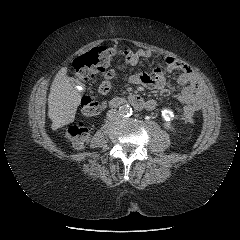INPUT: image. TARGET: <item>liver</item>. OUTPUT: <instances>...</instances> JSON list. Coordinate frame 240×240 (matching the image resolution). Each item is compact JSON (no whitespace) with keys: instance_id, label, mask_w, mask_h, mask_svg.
<instances>
[{"instance_id":"6515ba94","label":"liver","mask_w":240,"mask_h":240,"mask_svg":"<svg viewBox=\"0 0 240 240\" xmlns=\"http://www.w3.org/2000/svg\"><path fill=\"white\" fill-rule=\"evenodd\" d=\"M66 74V67L58 71L48 96V116L52 120V130L72 123L81 101L82 96L76 83Z\"/></svg>"}]
</instances>
